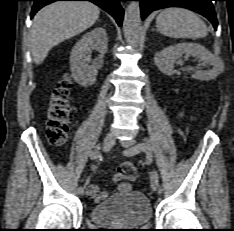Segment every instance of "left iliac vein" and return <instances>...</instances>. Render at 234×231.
I'll return each mask as SVG.
<instances>
[{"instance_id": "4c4485c4", "label": "left iliac vein", "mask_w": 234, "mask_h": 231, "mask_svg": "<svg viewBox=\"0 0 234 231\" xmlns=\"http://www.w3.org/2000/svg\"><path fill=\"white\" fill-rule=\"evenodd\" d=\"M120 143L124 148H126L128 150H132L137 146L135 141L131 140V139L121 140ZM136 153H138V152H136ZM150 184H151V188L153 191L158 190V188H159V175H158V172L156 170H153V172L151 174Z\"/></svg>"}]
</instances>
